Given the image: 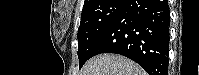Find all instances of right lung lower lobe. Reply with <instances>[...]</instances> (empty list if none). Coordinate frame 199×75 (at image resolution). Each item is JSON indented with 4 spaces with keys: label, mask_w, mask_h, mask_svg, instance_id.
I'll list each match as a JSON object with an SVG mask.
<instances>
[{
    "label": "right lung lower lobe",
    "mask_w": 199,
    "mask_h": 75,
    "mask_svg": "<svg viewBox=\"0 0 199 75\" xmlns=\"http://www.w3.org/2000/svg\"><path fill=\"white\" fill-rule=\"evenodd\" d=\"M169 24L167 0H127L95 46L93 56L120 54L137 62L149 75H167Z\"/></svg>",
    "instance_id": "right-lung-lower-lobe-1"
}]
</instances>
